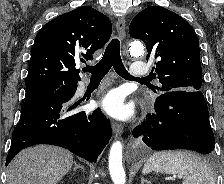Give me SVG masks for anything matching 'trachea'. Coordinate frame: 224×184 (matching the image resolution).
<instances>
[{"instance_id": "obj_1", "label": "trachea", "mask_w": 224, "mask_h": 184, "mask_svg": "<svg viewBox=\"0 0 224 184\" xmlns=\"http://www.w3.org/2000/svg\"><path fill=\"white\" fill-rule=\"evenodd\" d=\"M114 68L116 73L127 80L145 81L146 78H133L125 69L120 56V42L118 39H113L108 44L102 59L95 66H86L85 72L91 73L92 79H102L111 69Z\"/></svg>"}]
</instances>
